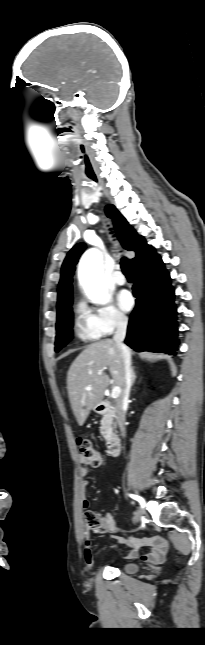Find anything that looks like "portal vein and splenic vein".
Listing matches in <instances>:
<instances>
[{"label": "portal vein and splenic vein", "mask_w": 205, "mask_h": 645, "mask_svg": "<svg viewBox=\"0 0 205 645\" xmlns=\"http://www.w3.org/2000/svg\"><path fill=\"white\" fill-rule=\"evenodd\" d=\"M98 374H99V375H102V374H103V372H102V371H99V372H98ZM87 389H90V387H87ZM120 393H121V388H120L119 386H115V387H113V389H112L111 397H112L113 399H116V398H118V397L120 396Z\"/></svg>", "instance_id": "obj_1"}]
</instances>
